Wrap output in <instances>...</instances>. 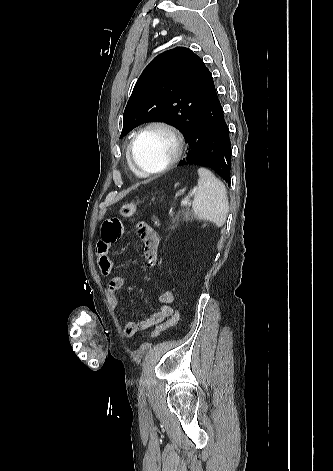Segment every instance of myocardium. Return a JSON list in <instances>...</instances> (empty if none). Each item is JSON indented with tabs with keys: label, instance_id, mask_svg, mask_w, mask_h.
<instances>
[{
	"label": "myocardium",
	"instance_id": "obj_1",
	"mask_svg": "<svg viewBox=\"0 0 333 471\" xmlns=\"http://www.w3.org/2000/svg\"><path fill=\"white\" fill-rule=\"evenodd\" d=\"M153 128H159L168 132L173 138L175 149H174V153L172 157L162 167L156 170H146L142 168L136 162L135 157H134V148L138 139L141 137V135L144 134L146 131ZM184 146H185L184 137L182 133L174 125L166 121H162V120L150 121L144 126H142L131 139L130 144L128 146V153H127L128 161H129L130 166L142 176L158 175L169 170L173 165H175L180 160L184 151Z\"/></svg>",
	"mask_w": 333,
	"mask_h": 471
}]
</instances>
